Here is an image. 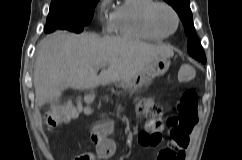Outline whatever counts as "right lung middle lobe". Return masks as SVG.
I'll return each mask as SVG.
<instances>
[{"label":"right lung middle lobe","mask_w":242,"mask_h":160,"mask_svg":"<svg viewBox=\"0 0 242 160\" xmlns=\"http://www.w3.org/2000/svg\"><path fill=\"white\" fill-rule=\"evenodd\" d=\"M99 0H52L45 31L58 29L73 32L83 31L92 19L94 8Z\"/></svg>","instance_id":"dd1d6c3e"}]
</instances>
